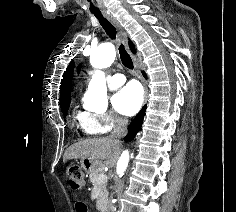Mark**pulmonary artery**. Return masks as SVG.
<instances>
[{"label":"pulmonary artery","mask_w":236,"mask_h":212,"mask_svg":"<svg viewBox=\"0 0 236 212\" xmlns=\"http://www.w3.org/2000/svg\"><path fill=\"white\" fill-rule=\"evenodd\" d=\"M125 76L120 74V73H115L110 75L107 78V86L110 89H115L118 88L119 86H121L124 82H125Z\"/></svg>","instance_id":"1"}]
</instances>
